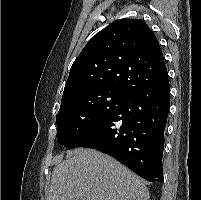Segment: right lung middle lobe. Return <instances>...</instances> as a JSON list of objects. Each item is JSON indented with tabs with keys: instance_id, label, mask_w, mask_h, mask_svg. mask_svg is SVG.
<instances>
[{
	"instance_id": "right-lung-middle-lobe-1",
	"label": "right lung middle lobe",
	"mask_w": 201,
	"mask_h": 200,
	"mask_svg": "<svg viewBox=\"0 0 201 200\" xmlns=\"http://www.w3.org/2000/svg\"><path fill=\"white\" fill-rule=\"evenodd\" d=\"M128 96L115 91H91L61 102L56 117L57 141L68 146L78 135L115 109Z\"/></svg>"
}]
</instances>
